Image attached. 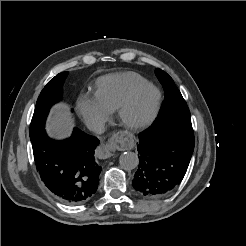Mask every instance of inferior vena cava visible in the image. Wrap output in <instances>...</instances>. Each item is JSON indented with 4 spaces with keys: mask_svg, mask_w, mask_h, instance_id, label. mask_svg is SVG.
I'll return each instance as SVG.
<instances>
[{
    "mask_svg": "<svg viewBox=\"0 0 246 246\" xmlns=\"http://www.w3.org/2000/svg\"><path fill=\"white\" fill-rule=\"evenodd\" d=\"M86 125L89 130L95 132L96 134H101L105 131L104 121L98 118L88 119Z\"/></svg>",
    "mask_w": 246,
    "mask_h": 246,
    "instance_id": "inferior-vena-cava-1",
    "label": "inferior vena cava"
}]
</instances>
